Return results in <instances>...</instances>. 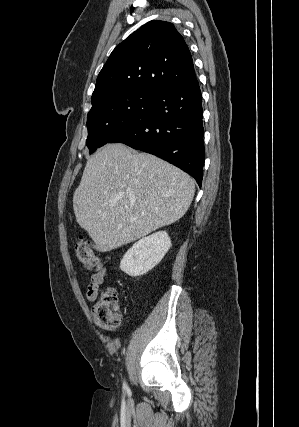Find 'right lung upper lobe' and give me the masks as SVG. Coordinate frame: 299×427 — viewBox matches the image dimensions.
<instances>
[{
  "label": "right lung upper lobe",
  "instance_id": "right-lung-upper-lobe-1",
  "mask_svg": "<svg viewBox=\"0 0 299 427\" xmlns=\"http://www.w3.org/2000/svg\"><path fill=\"white\" fill-rule=\"evenodd\" d=\"M193 61L181 34L165 21H150L111 53L100 71L92 104L123 92L154 96L195 79Z\"/></svg>",
  "mask_w": 299,
  "mask_h": 427
}]
</instances>
